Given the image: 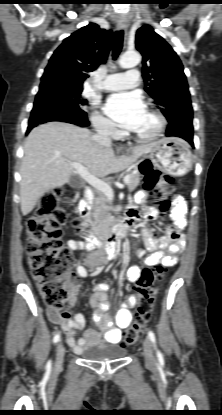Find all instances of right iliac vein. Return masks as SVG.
<instances>
[{
    "instance_id": "1",
    "label": "right iliac vein",
    "mask_w": 222,
    "mask_h": 415,
    "mask_svg": "<svg viewBox=\"0 0 222 415\" xmlns=\"http://www.w3.org/2000/svg\"><path fill=\"white\" fill-rule=\"evenodd\" d=\"M65 355V348L61 342L58 343L56 349V366H60L63 362Z\"/></svg>"
}]
</instances>
